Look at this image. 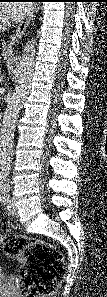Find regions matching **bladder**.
Listing matches in <instances>:
<instances>
[{"label": "bladder", "instance_id": "1", "mask_svg": "<svg viewBox=\"0 0 107 297\" xmlns=\"http://www.w3.org/2000/svg\"><path fill=\"white\" fill-rule=\"evenodd\" d=\"M0 278H1V280L4 278V273L2 272L1 269H0Z\"/></svg>", "mask_w": 107, "mask_h": 297}]
</instances>
